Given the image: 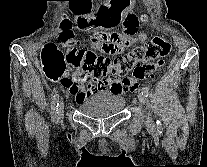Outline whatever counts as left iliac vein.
Listing matches in <instances>:
<instances>
[{
	"label": "left iliac vein",
	"instance_id": "1",
	"mask_svg": "<svg viewBox=\"0 0 207 167\" xmlns=\"http://www.w3.org/2000/svg\"><path fill=\"white\" fill-rule=\"evenodd\" d=\"M138 99H139V102L143 105V106H146V98H145V96L143 95V94H139L138 95ZM146 121L148 122V123H151L152 124V120L150 119V117L149 116H146Z\"/></svg>",
	"mask_w": 207,
	"mask_h": 167
}]
</instances>
